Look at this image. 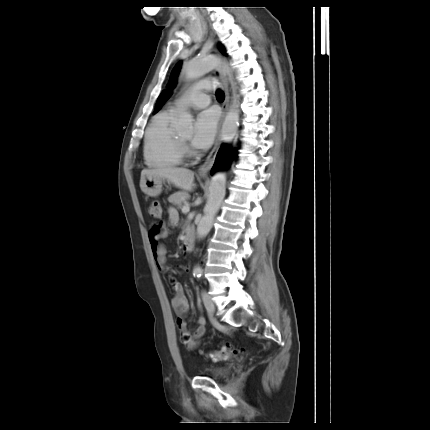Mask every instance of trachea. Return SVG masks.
Listing matches in <instances>:
<instances>
[{
    "label": "trachea",
    "mask_w": 430,
    "mask_h": 430,
    "mask_svg": "<svg viewBox=\"0 0 430 430\" xmlns=\"http://www.w3.org/2000/svg\"><path fill=\"white\" fill-rule=\"evenodd\" d=\"M216 97H217L218 100H224L225 95H224V93L221 90H218L216 92Z\"/></svg>",
    "instance_id": "obj_1"
}]
</instances>
